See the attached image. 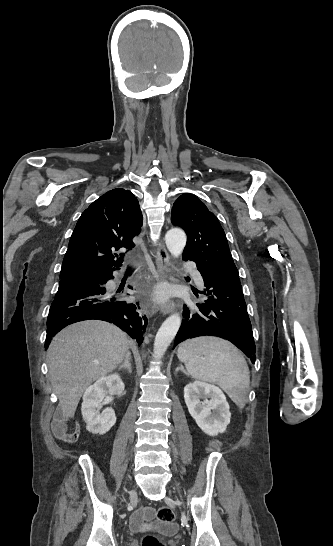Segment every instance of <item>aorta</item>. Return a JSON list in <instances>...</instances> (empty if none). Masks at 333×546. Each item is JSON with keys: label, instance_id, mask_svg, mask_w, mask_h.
Instances as JSON below:
<instances>
[{"label": "aorta", "instance_id": "aorta-1", "mask_svg": "<svg viewBox=\"0 0 333 546\" xmlns=\"http://www.w3.org/2000/svg\"><path fill=\"white\" fill-rule=\"evenodd\" d=\"M165 242L171 255L178 257L186 245V234L182 229L172 228L166 233ZM180 325L181 317L177 313L171 315L163 322L154 341L153 352L156 358H161L165 354L170 343L176 336Z\"/></svg>", "mask_w": 333, "mask_h": 546}]
</instances>
